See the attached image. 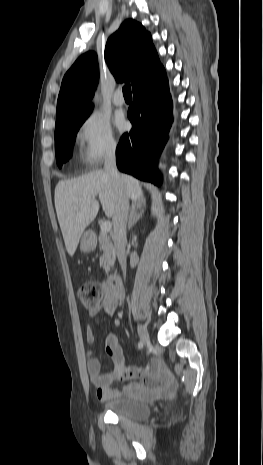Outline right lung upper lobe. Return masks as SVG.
Here are the masks:
<instances>
[{
  "label": "right lung upper lobe",
  "mask_w": 263,
  "mask_h": 465,
  "mask_svg": "<svg viewBox=\"0 0 263 465\" xmlns=\"http://www.w3.org/2000/svg\"><path fill=\"white\" fill-rule=\"evenodd\" d=\"M104 57L116 80L131 82L133 88L163 67L150 33L132 19L125 20L109 37ZM98 78L96 54L87 52L81 55L62 80L57 101L56 123L73 112L93 108L90 101Z\"/></svg>",
  "instance_id": "right-lung-upper-lobe-1"
}]
</instances>
